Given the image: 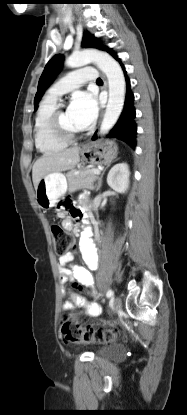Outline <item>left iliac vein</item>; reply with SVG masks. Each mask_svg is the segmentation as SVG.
<instances>
[{"mask_svg": "<svg viewBox=\"0 0 187 415\" xmlns=\"http://www.w3.org/2000/svg\"><path fill=\"white\" fill-rule=\"evenodd\" d=\"M122 305V300L119 296H116L114 301H113V309L117 310L121 307Z\"/></svg>", "mask_w": 187, "mask_h": 415, "instance_id": "left-iliac-vein-1", "label": "left iliac vein"}]
</instances>
